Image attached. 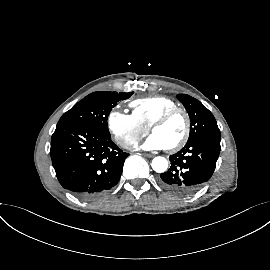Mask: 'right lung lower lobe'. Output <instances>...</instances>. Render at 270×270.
<instances>
[{"label": "right lung lower lobe", "instance_id": "obj_1", "mask_svg": "<svg viewBox=\"0 0 270 270\" xmlns=\"http://www.w3.org/2000/svg\"><path fill=\"white\" fill-rule=\"evenodd\" d=\"M50 155L63 188L82 199H92L114 187L128 153L105 134L86 125L56 127Z\"/></svg>", "mask_w": 270, "mask_h": 270}]
</instances>
